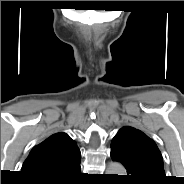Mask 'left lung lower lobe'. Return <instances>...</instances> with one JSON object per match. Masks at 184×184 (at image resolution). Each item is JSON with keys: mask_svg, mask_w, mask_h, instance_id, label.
Returning a JSON list of instances; mask_svg holds the SVG:
<instances>
[{"mask_svg": "<svg viewBox=\"0 0 184 184\" xmlns=\"http://www.w3.org/2000/svg\"><path fill=\"white\" fill-rule=\"evenodd\" d=\"M111 158L113 161L121 162L127 170V175L123 176L128 184H162L154 180L146 179L142 173L131 164L121 153L111 148Z\"/></svg>", "mask_w": 184, "mask_h": 184, "instance_id": "left-lung-lower-lobe-1", "label": "left lung lower lobe"}]
</instances>
